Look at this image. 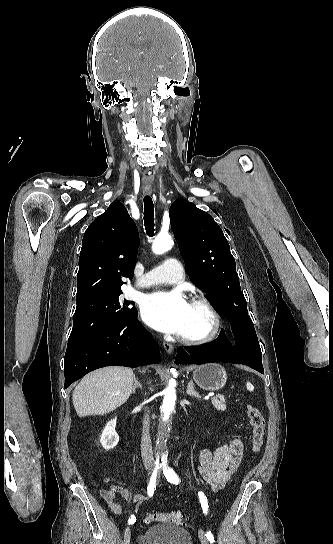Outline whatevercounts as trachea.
Instances as JSON below:
<instances>
[{
	"instance_id": "trachea-1",
	"label": "trachea",
	"mask_w": 333,
	"mask_h": 544,
	"mask_svg": "<svg viewBox=\"0 0 333 544\" xmlns=\"http://www.w3.org/2000/svg\"><path fill=\"white\" fill-rule=\"evenodd\" d=\"M144 226L149 237L154 235V205L150 196L144 197Z\"/></svg>"
}]
</instances>
